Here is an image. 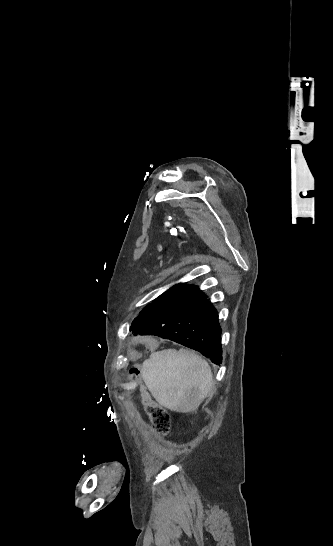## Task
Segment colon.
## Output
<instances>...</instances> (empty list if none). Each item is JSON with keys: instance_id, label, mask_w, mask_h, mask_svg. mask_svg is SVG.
Returning a JSON list of instances; mask_svg holds the SVG:
<instances>
[{"instance_id": "colon-1", "label": "colon", "mask_w": 333, "mask_h": 546, "mask_svg": "<svg viewBox=\"0 0 333 546\" xmlns=\"http://www.w3.org/2000/svg\"><path fill=\"white\" fill-rule=\"evenodd\" d=\"M128 373H129V382L131 383L133 380H139L140 379V372L141 369L139 366L134 365L133 360L127 361ZM137 387L139 389V393L141 395V398L146 403V412L150 419L152 428L160 433V434H166L171 425V418L169 413L166 409H164L161 405L155 403L152 401V394L150 393V390L148 388V385L145 384L144 381H138Z\"/></svg>"}]
</instances>
